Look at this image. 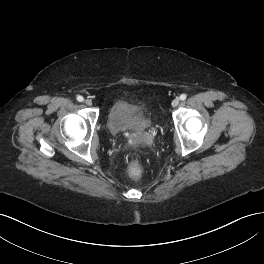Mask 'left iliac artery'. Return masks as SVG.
<instances>
[{"instance_id":"left-iliac-artery-1","label":"left iliac artery","mask_w":264,"mask_h":264,"mask_svg":"<svg viewBox=\"0 0 264 264\" xmlns=\"http://www.w3.org/2000/svg\"><path fill=\"white\" fill-rule=\"evenodd\" d=\"M186 97H187L186 94H181V95H180V100H185Z\"/></svg>"}]
</instances>
